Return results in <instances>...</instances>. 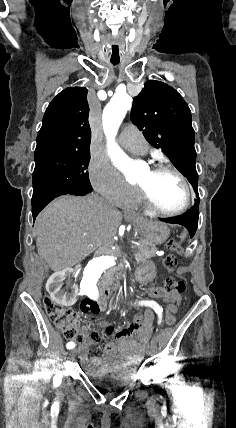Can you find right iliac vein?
Wrapping results in <instances>:
<instances>
[{
	"label": "right iliac vein",
	"instance_id": "right-iliac-vein-1",
	"mask_svg": "<svg viewBox=\"0 0 236 428\" xmlns=\"http://www.w3.org/2000/svg\"><path fill=\"white\" fill-rule=\"evenodd\" d=\"M76 354H77V353H76L75 351H71V352H70V355H71V356H75Z\"/></svg>",
	"mask_w": 236,
	"mask_h": 428
}]
</instances>
